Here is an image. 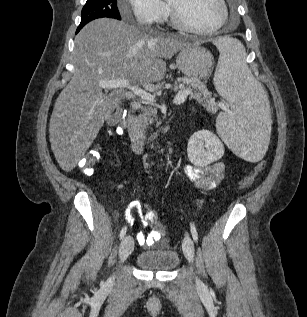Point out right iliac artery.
Returning a JSON list of instances; mask_svg holds the SVG:
<instances>
[{"mask_svg": "<svg viewBox=\"0 0 307 317\" xmlns=\"http://www.w3.org/2000/svg\"><path fill=\"white\" fill-rule=\"evenodd\" d=\"M126 231H127L126 227L122 228L119 235L120 240L123 239V237L126 235Z\"/></svg>", "mask_w": 307, "mask_h": 317, "instance_id": "1", "label": "right iliac artery"}]
</instances>
